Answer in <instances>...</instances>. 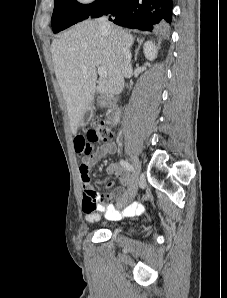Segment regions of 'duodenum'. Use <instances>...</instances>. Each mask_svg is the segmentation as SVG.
Segmentation results:
<instances>
[{"mask_svg": "<svg viewBox=\"0 0 227 298\" xmlns=\"http://www.w3.org/2000/svg\"><path fill=\"white\" fill-rule=\"evenodd\" d=\"M102 103L106 106H110L113 108L112 112L110 113V115L108 117V121L111 125H115L118 122V110L115 107L113 100L109 97H105L103 99Z\"/></svg>", "mask_w": 227, "mask_h": 298, "instance_id": "duodenum-1", "label": "duodenum"}]
</instances>
